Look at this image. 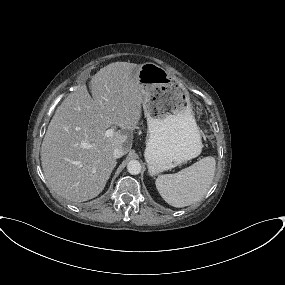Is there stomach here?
Segmentation results:
<instances>
[{"label":"stomach","mask_w":285,"mask_h":285,"mask_svg":"<svg viewBox=\"0 0 285 285\" xmlns=\"http://www.w3.org/2000/svg\"><path fill=\"white\" fill-rule=\"evenodd\" d=\"M147 118L145 160L151 176L197 157L202 151L190 96L168 72L151 62L136 71Z\"/></svg>","instance_id":"obj_1"}]
</instances>
